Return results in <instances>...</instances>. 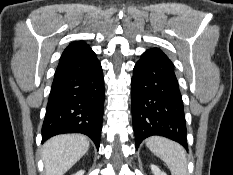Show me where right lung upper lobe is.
Listing matches in <instances>:
<instances>
[{
	"instance_id": "obj_1",
	"label": "right lung upper lobe",
	"mask_w": 233,
	"mask_h": 175,
	"mask_svg": "<svg viewBox=\"0 0 233 175\" xmlns=\"http://www.w3.org/2000/svg\"><path fill=\"white\" fill-rule=\"evenodd\" d=\"M91 48L83 41L72 42L64 50L59 63L66 62L91 52Z\"/></svg>"
}]
</instances>
